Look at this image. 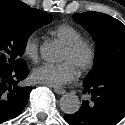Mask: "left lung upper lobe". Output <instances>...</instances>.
Listing matches in <instances>:
<instances>
[{
    "mask_svg": "<svg viewBox=\"0 0 125 125\" xmlns=\"http://www.w3.org/2000/svg\"><path fill=\"white\" fill-rule=\"evenodd\" d=\"M96 43L94 66L85 82L107 74L125 73V26L117 19L98 12L73 15Z\"/></svg>",
    "mask_w": 125,
    "mask_h": 125,
    "instance_id": "1",
    "label": "left lung upper lobe"
}]
</instances>
